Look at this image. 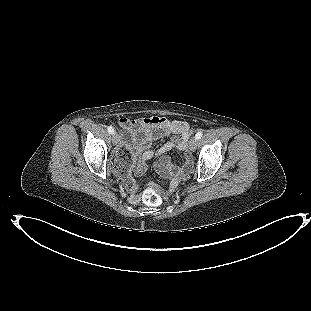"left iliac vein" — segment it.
Segmentation results:
<instances>
[{
  "label": "left iliac vein",
  "mask_w": 311,
  "mask_h": 311,
  "mask_svg": "<svg viewBox=\"0 0 311 311\" xmlns=\"http://www.w3.org/2000/svg\"><path fill=\"white\" fill-rule=\"evenodd\" d=\"M196 147H197V139L195 137H192L189 141V149L191 151H195Z\"/></svg>",
  "instance_id": "obj_1"
}]
</instances>
